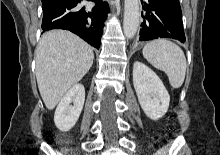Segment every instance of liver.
I'll list each match as a JSON object with an SVG mask.
<instances>
[{"label":"liver","instance_id":"6515ba94","mask_svg":"<svg viewBox=\"0 0 220 155\" xmlns=\"http://www.w3.org/2000/svg\"><path fill=\"white\" fill-rule=\"evenodd\" d=\"M90 45L66 30H52L36 50V78L45 106L52 110L93 64Z\"/></svg>","mask_w":220,"mask_h":155}]
</instances>
